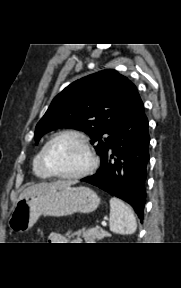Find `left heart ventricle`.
Masks as SVG:
<instances>
[{"label":"left heart ventricle","instance_id":"obj_1","mask_svg":"<svg viewBox=\"0 0 181 288\" xmlns=\"http://www.w3.org/2000/svg\"><path fill=\"white\" fill-rule=\"evenodd\" d=\"M50 167L62 174L76 173L87 164V154L82 144L74 137H62L48 149Z\"/></svg>","mask_w":181,"mask_h":288}]
</instances>
